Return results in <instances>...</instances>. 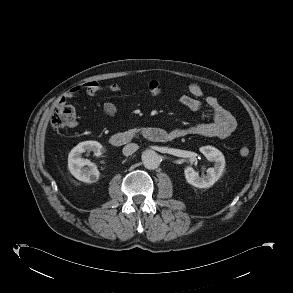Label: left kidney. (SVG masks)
Masks as SVG:
<instances>
[{"mask_svg": "<svg viewBox=\"0 0 293 293\" xmlns=\"http://www.w3.org/2000/svg\"><path fill=\"white\" fill-rule=\"evenodd\" d=\"M200 152L209 161H214V167L207 170V174L200 176L192 167L184 170L186 181L197 188L211 187L222 175L225 168V158L222 152L212 146H203Z\"/></svg>", "mask_w": 293, "mask_h": 293, "instance_id": "1", "label": "left kidney"}]
</instances>
